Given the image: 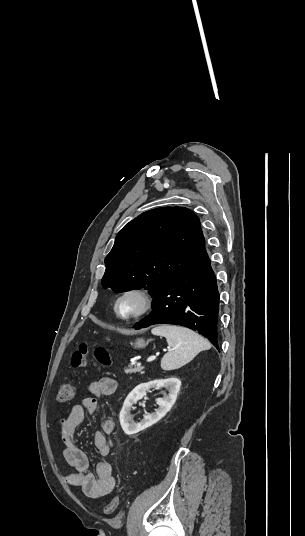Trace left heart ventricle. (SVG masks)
Segmentation results:
<instances>
[{"label": "left heart ventricle", "instance_id": "b2bd125f", "mask_svg": "<svg viewBox=\"0 0 305 536\" xmlns=\"http://www.w3.org/2000/svg\"><path fill=\"white\" fill-rule=\"evenodd\" d=\"M143 307V299L138 294H128L118 302L119 314L123 317H130L138 313Z\"/></svg>", "mask_w": 305, "mask_h": 536}]
</instances>
